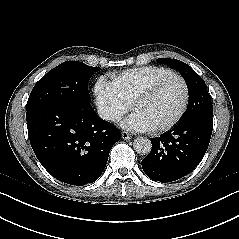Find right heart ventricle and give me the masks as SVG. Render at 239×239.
Returning <instances> with one entry per match:
<instances>
[{
	"mask_svg": "<svg viewBox=\"0 0 239 239\" xmlns=\"http://www.w3.org/2000/svg\"><path fill=\"white\" fill-rule=\"evenodd\" d=\"M169 72L172 71L166 67L146 65L112 74L111 78L115 89L128 103H131L133 97L140 89Z\"/></svg>",
	"mask_w": 239,
	"mask_h": 239,
	"instance_id": "e07e8e85",
	"label": "right heart ventricle"
}]
</instances>
